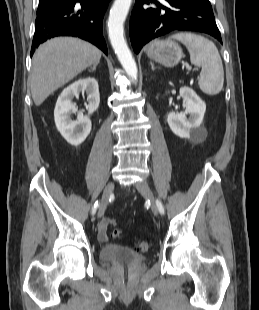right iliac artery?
<instances>
[{"instance_id": "1", "label": "right iliac artery", "mask_w": 259, "mask_h": 310, "mask_svg": "<svg viewBox=\"0 0 259 310\" xmlns=\"http://www.w3.org/2000/svg\"><path fill=\"white\" fill-rule=\"evenodd\" d=\"M98 207H99V203H98V201H97V202H95V204H94V206H93V208H92V214H94V213L96 212V210H97Z\"/></svg>"}]
</instances>
